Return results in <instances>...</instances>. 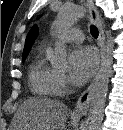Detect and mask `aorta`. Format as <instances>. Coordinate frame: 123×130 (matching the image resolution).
I'll return each mask as SVG.
<instances>
[{
    "label": "aorta",
    "mask_w": 123,
    "mask_h": 130,
    "mask_svg": "<svg viewBox=\"0 0 123 130\" xmlns=\"http://www.w3.org/2000/svg\"><path fill=\"white\" fill-rule=\"evenodd\" d=\"M85 9L81 6H64L57 14L53 28L56 34L61 35L74 22L84 17ZM107 41L105 46V53L102 57L101 67L95 78L88 117L86 120L85 130H100L104 108L106 104V97L108 92L109 80L112 75L113 57L112 52L114 48V40L111 31H106ZM67 59V49L65 45L58 42L54 49V55L51 58L52 65L62 67L65 65Z\"/></svg>",
    "instance_id": "aorta-1"
}]
</instances>
